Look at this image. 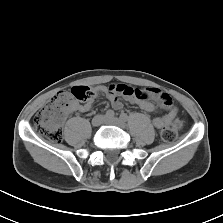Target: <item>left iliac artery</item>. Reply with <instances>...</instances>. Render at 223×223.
Masks as SVG:
<instances>
[{"label": "left iliac artery", "instance_id": "1", "mask_svg": "<svg viewBox=\"0 0 223 223\" xmlns=\"http://www.w3.org/2000/svg\"><path fill=\"white\" fill-rule=\"evenodd\" d=\"M120 119L126 121L128 119V116L126 114H121Z\"/></svg>", "mask_w": 223, "mask_h": 223}]
</instances>
